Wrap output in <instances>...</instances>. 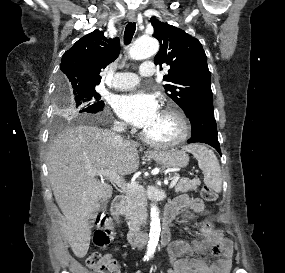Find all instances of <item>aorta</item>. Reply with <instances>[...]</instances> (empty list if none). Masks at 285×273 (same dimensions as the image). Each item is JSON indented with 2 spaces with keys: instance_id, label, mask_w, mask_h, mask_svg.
<instances>
[{
  "instance_id": "aorta-1",
  "label": "aorta",
  "mask_w": 285,
  "mask_h": 273,
  "mask_svg": "<svg viewBox=\"0 0 285 273\" xmlns=\"http://www.w3.org/2000/svg\"><path fill=\"white\" fill-rule=\"evenodd\" d=\"M159 50V43L154 38L142 37L134 42L130 48V57L134 60H142L155 55ZM151 222L149 241L147 245V254L152 255L158 245L161 226L159 218V210L156 205L151 207Z\"/></svg>"
}]
</instances>
